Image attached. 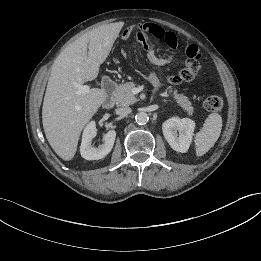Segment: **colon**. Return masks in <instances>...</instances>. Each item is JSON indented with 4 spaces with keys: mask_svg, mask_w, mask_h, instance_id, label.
Returning <instances> with one entry per match:
<instances>
[{
    "mask_svg": "<svg viewBox=\"0 0 261 261\" xmlns=\"http://www.w3.org/2000/svg\"><path fill=\"white\" fill-rule=\"evenodd\" d=\"M133 31L134 28L132 26L124 28L122 32L118 35V40L120 42H126ZM203 105L204 108L209 112H218L223 107V100L217 95H209L205 98Z\"/></svg>",
    "mask_w": 261,
    "mask_h": 261,
    "instance_id": "5ec220e1",
    "label": "colon"
}]
</instances>
